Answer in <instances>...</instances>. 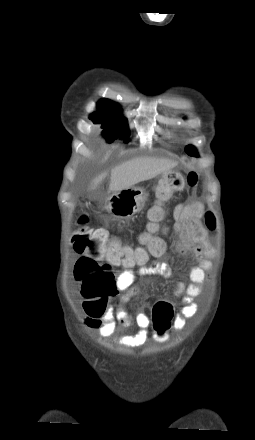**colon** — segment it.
I'll return each instance as SVG.
<instances>
[{"label":"colon","mask_w":255,"mask_h":440,"mask_svg":"<svg viewBox=\"0 0 255 440\" xmlns=\"http://www.w3.org/2000/svg\"><path fill=\"white\" fill-rule=\"evenodd\" d=\"M198 182V174L190 171L183 176L180 173H169L157 185L155 196L157 206L149 212L148 232L141 236V241L149 252L159 255L162 243L153 233L159 231L163 219L161 205L170 200L175 191L185 185L194 187ZM205 224L214 229L216 219L213 213L207 212ZM78 228L74 231L71 244L75 252L82 254L75 264V279L81 286L84 298V309L88 317L102 316L107 310V302L116 292V283L112 268L120 265H134L140 262L147 252L142 248L122 245L116 240L109 241L108 233L103 229L89 226L88 218L82 216L78 220ZM152 312L154 342H167L168 332L174 318V306L168 298H155Z\"/></svg>","instance_id":"5ec220e1"}]
</instances>
